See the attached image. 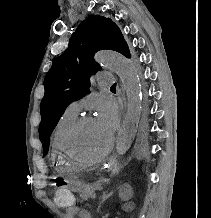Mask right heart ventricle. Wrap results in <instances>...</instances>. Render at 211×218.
I'll use <instances>...</instances> for the list:
<instances>
[{"mask_svg":"<svg viewBox=\"0 0 211 218\" xmlns=\"http://www.w3.org/2000/svg\"><path fill=\"white\" fill-rule=\"evenodd\" d=\"M77 119V113L66 109L58 119L53 132L54 154H50L53 169H73V164L66 158L65 136L70 126Z\"/></svg>","mask_w":211,"mask_h":218,"instance_id":"1","label":"right heart ventricle"}]
</instances>
